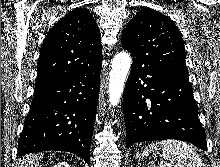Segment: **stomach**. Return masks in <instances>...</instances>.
Returning a JSON list of instances; mask_svg holds the SVG:
<instances>
[{
    "label": "stomach",
    "mask_w": 220,
    "mask_h": 167,
    "mask_svg": "<svg viewBox=\"0 0 220 167\" xmlns=\"http://www.w3.org/2000/svg\"><path fill=\"white\" fill-rule=\"evenodd\" d=\"M144 156H146L144 153H138V154H137V157H139V159H140L141 157L143 158Z\"/></svg>",
    "instance_id": "1"
}]
</instances>
